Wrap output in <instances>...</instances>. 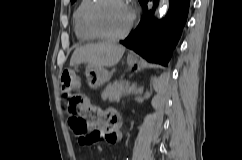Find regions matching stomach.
<instances>
[{
    "mask_svg": "<svg viewBox=\"0 0 242 160\" xmlns=\"http://www.w3.org/2000/svg\"><path fill=\"white\" fill-rule=\"evenodd\" d=\"M127 64L130 68H134L137 71L140 70V64L136 58L132 56H128ZM88 86L91 89H97L100 86L104 85L109 79V71L106 70L104 67H92L87 66L85 72Z\"/></svg>",
    "mask_w": 242,
    "mask_h": 160,
    "instance_id": "0dacf381",
    "label": "stomach"
}]
</instances>
